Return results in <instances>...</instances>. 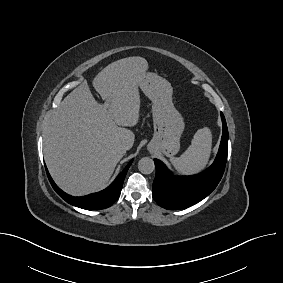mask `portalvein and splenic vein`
<instances>
[{
  "mask_svg": "<svg viewBox=\"0 0 283 283\" xmlns=\"http://www.w3.org/2000/svg\"><path fill=\"white\" fill-rule=\"evenodd\" d=\"M103 105H104V107H108V106H109L108 101H107V102H105Z\"/></svg>",
  "mask_w": 283,
  "mask_h": 283,
  "instance_id": "obj_1",
  "label": "portal vein and splenic vein"
}]
</instances>
